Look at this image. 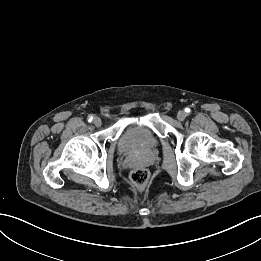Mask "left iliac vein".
Masks as SVG:
<instances>
[{
  "label": "left iliac vein",
  "mask_w": 261,
  "mask_h": 261,
  "mask_svg": "<svg viewBox=\"0 0 261 261\" xmlns=\"http://www.w3.org/2000/svg\"><path fill=\"white\" fill-rule=\"evenodd\" d=\"M186 116H187V114L182 110L178 111V113H177V119L179 121L185 120Z\"/></svg>",
  "instance_id": "left-iliac-vein-1"
}]
</instances>
